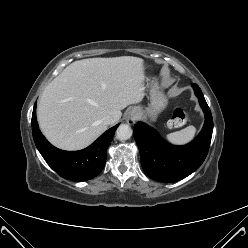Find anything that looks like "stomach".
Returning a JSON list of instances; mask_svg holds the SVG:
<instances>
[{"mask_svg": "<svg viewBox=\"0 0 248 248\" xmlns=\"http://www.w3.org/2000/svg\"><path fill=\"white\" fill-rule=\"evenodd\" d=\"M150 95L151 104L149 107L145 110L140 107H136V109L139 111L140 117H149L154 120L157 117V114L166 107L167 98L155 82L153 83Z\"/></svg>", "mask_w": 248, "mask_h": 248, "instance_id": "stomach-1", "label": "stomach"}]
</instances>
